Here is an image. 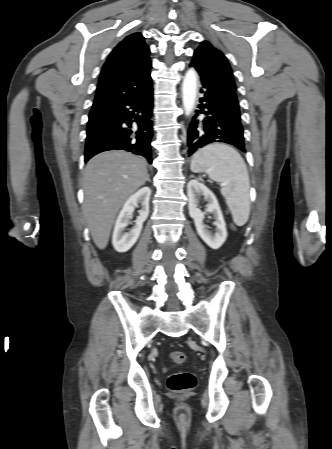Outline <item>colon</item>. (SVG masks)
Segmentation results:
<instances>
[{
	"label": "colon",
	"mask_w": 332,
	"mask_h": 449,
	"mask_svg": "<svg viewBox=\"0 0 332 449\" xmlns=\"http://www.w3.org/2000/svg\"><path fill=\"white\" fill-rule=\"evenodd\" d=\"M170 358L176 364H183L186 356L183 352L175 350L170 353ZM195 385V375L189 371H178L171 374L168 378V388L174 393H185L191 391Z\"/></svg>",
	"instance_id": "5ec220e1"
}]
</instances>
